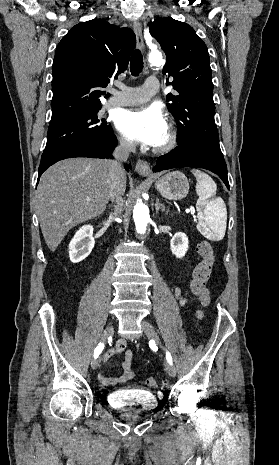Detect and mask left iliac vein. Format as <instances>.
Returning <instances> with one entry per match:
<instances>
[{"instance_id":"obj_1","label":"left iliac vein","mask_w":279,"mask_h":465,"mask_svg":"<svg viewBox=\"0 0 279 465\" xmlns=\"http://www.w3.org/2000/svg\"><path fill=\"white\" fill-rule=\"evenodd\" d=\"M141 326H142V329L144 331V333L146 334V336L153 340L156 344H158L161 348L162 347V344H161V341L159 339V336L155 330V328L153 327L152 324H150L148 321H145L143 320L141 322ZM166 371L167 373L169 374V376L171 377H175L176 376V370H175V367L172 365V363L170 362H166Z\"/></svg>"}]
</instances>
